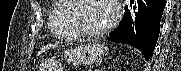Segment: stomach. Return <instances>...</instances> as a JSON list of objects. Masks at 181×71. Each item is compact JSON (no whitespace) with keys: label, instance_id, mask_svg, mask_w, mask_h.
<instances>
[{"label":"stomach","instance_id":"stomach-1","mask_svg":"<svg viewBox=\"0 0 181 71\" xmlns=\"http://www.w3.org/2000/svg\"><path fill=\"white\" fill-rule=\"evenodd\" d=\"M107 49L102 44H80L75 49L65 54L66 59L73 65L79 64H93L100 61L106 55ZM41 66L42 71H55L57 67L48 66L46 64Z\"/></svg>","mask_w":181,"mask_h":71}]
</instances>
